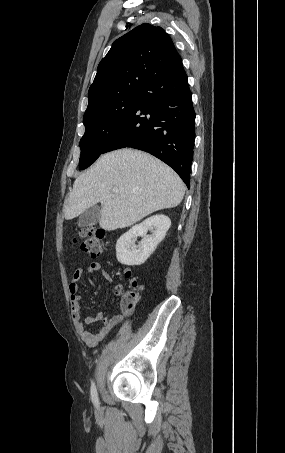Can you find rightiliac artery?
Wrapping results in <instances>:
<instances>
[{"label": "right iliac artery", "mask_w": 285, "mask_h": 453, "mask_svg": "<svg viewBox=\"0 0 285 453\" xmlns=\"http://www.w3.org/2000/svg\"><path fill=\"white\" fill-rule=\"evenodd\" d=\"M91 399H92V402L94 403V405L96 407H98L99 399H98V394H97V390H96V386H95L94 382H92V385H91Z\"/></svg>", "instance_id": "1"}]
</instances>
